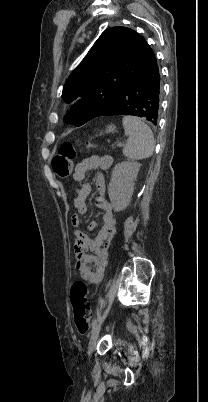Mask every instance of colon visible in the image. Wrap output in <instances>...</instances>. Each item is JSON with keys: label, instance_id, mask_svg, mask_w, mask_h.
<instances>
[{"label": "colon", "instance_id": "5ec220e1", "mask_svg": "<svg viewBox=\"0 0 208 402\" xmlns=\"http://www.w3.org/2000/svg\"><path fill=\"white\" fill-rule=\"evenodd\" d=\"M86 149H93L97 146L85 142ZM78 149L70 142H63L51 161V168L54 174L62 179L68 178L72 173L73 162L77 157ZM89 290L82 281H75L71 287V301L74 308V322L81 334L89 330L92 317V305L89 300Z\"/></svg>", "mask_w": 208, "mask_h": 402}]
</instances>
